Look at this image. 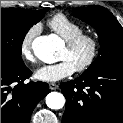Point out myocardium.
<instances>
[{
    "label": "myocardium",
    "instance_id": "obj_1",
    "mask_svg": "<svg viewBox=\"0 0 123 123\" xmlns=\"http://www.w3.org/2000/svg\"><path fill=\"white\" fill-rule=\"evenodd\" d=\"M83 42H87L90 45V53L88 58L82 64H80L75 68L77 72H84L88 70L95 63L99 55L100 50L99 39L96 35L92 33L81 32L79 34H76L70 39L65 41V46L67 49L73 50Z\"/></svg>",
    "mask_w": 123,
    "mask_h": 123
}]
</instances>
